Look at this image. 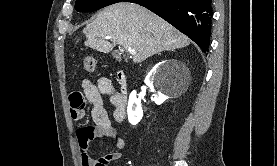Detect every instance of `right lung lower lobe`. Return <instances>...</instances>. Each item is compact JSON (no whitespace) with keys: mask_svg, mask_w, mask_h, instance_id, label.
<instances>
[{"mask_svg":"<svg viewBox=\"0 0 277 166\" xmlns=\"http://www.w3.org/2000/svg\"><path fill=\"white\" fill-rule=\"evenodd\" d=\"M137 3L165 19L191 38L203 52L209 51L211 0H122Z\"/></svg>","mask_w":277,"mask_h":166,"instance_id":"obj_1","label":"right lung lower lobe"}]
</instances>
